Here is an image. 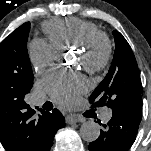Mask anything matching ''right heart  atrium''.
Listing matches in <instances>:
<instances>
[{"label":"right heart atrium","mask_w":151,"mask_h":151,"mask_svg":"<svg viewBox=\"0 0 151 151\" xmlns=\"http://www.w3.org/2000/svg\"><path fill=\"white\" fill-rule=\"evenodd\" d=\"M58 55V48L49 40L35 38L28 45V58L36 71L51 66Z\"/></svg>","instance_id":"right-heart-atrium-1"}]
</instances>
